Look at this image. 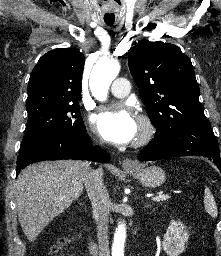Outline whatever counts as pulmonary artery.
Wrapping results in <instances>:
<instances>
[{
    "instance_id": "pulmonary-artery-1",
    "label": "pulmonary artery",
    "mask_w": 221,
    "mask_h": 256,
    "mask_svg": "<svg viewBox=\"0 0 221 256\" xmlns=\"http://www.w3.org/2000/svg\"><path fill=\"white\" fill-rule=\"evenodd\" d=\"M130 90L129 82L125 78L116 79L111 86V94L118 98H123L128 95Z\"/></svg>"
}]
</instances>
